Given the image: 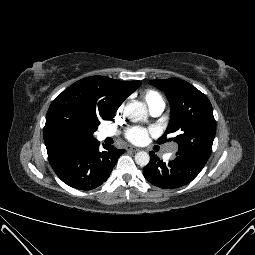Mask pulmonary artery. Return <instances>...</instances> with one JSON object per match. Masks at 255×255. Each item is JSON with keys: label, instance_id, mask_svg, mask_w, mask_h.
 I'll return each instance as SVG.
<instances>
[{"label": "pulmonary artery", "instance_id": "obj_1", "mask_svg": "<svg viewBox=\"0 0 255 255\" xmlns=\"http://www.w3.org/2000/svg\"><path fill=\"white\" fill-rule=\"evenodd\" d=\"M164 107H165V106H164L163 104L157 105V106L151 108V109H150V112H151V114H152L153 116H158V115H160V114L163 112ZM112 135H113V132H111V131H109V130H103V131L101 132V136H102L103 138H106V137H109V136H112ZM175 151H176V147H175V146H172V147L170 148L169 152H167V153L164 155V157H165L166 159L171 158V157L173 156V154L175 153Z\"/></svg>", "mask_w": 255, "mask_h": 255}]
</instances>
